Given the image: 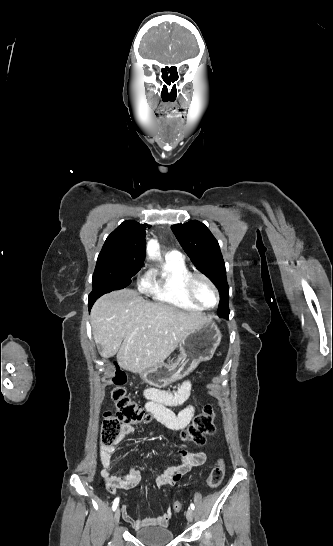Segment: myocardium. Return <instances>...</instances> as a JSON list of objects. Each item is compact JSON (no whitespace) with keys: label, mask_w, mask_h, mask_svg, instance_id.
<instances>
[{"label":"myocardium","mask_w":333,"mask_h":546,"mask_svg":"<svg viewBox=\"0 0 333 546\" xmlns=\"http://www.w3.org/2000/svg\"><path fill=\"white\" fill-rule=\"evenodd\" d=\"M196 279H201L203 281H205L208 285H210L212 287V289L214 290L215 292V295H216V303L213 305V306H206L205 304H203L195 295L194 291H193V282L196 280ZM183 289H184V292L186 294V296L193 302L195 303L196 305H198L199 307L203 308V309H206V310H210V309H214L218 306L219 304V301H220V293H219V290H218V287L216 286V284L205 274L203 273H200V272H190L183 280Z\"/></svg>","instance_id":"1"}]
</instances>
